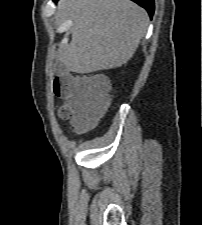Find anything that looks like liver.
Listing matches in <instances>:
<instances>
[{
  "mask_svg": "<svg viewBox=\"0 0 202 225\" xmlns=\"http://www.w3.org/2000/svg\"><path fill=\"white\" fill-rule=\"evenodd\" d=\"M58 10L73 22L61 61L74 73L121 67L135 53L149 23L145 9L130 0H61Z\"/></svg>",
  "mask_w": 202,
  "mask_h": 225,
  "instance_id": "liver-1",
  "label": "liver"
}]
</instances>
